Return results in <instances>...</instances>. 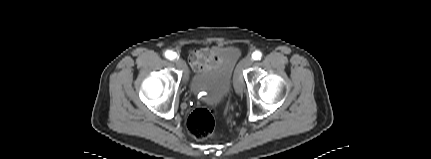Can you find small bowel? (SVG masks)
Instances as JSON below:
<instances>
[{
  "instance_id": "1",
  "label": "small bowel",
  "mask_w": 431,
  "mask_h": 159,
  "mask_svg": "<svg viewBox=\"0 0 431 159\" xmlns=\"http://www.w3.org/2000/svg\"><path fill=\"white\" fill-rule=\"evenodd\" d=\"M221 61L220 48H202L192 51L189 56V63L196 72H204L215 66Z\"/></svg>"
}]
</instances>
